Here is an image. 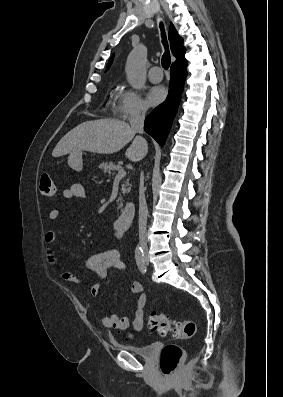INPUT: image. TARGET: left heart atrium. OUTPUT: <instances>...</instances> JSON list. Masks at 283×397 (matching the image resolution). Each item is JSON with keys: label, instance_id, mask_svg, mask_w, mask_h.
<instances>
[{"label": "left heart atrium", "instance_id": "1", "mask_svg": "<svg viewBox=\"0 0 283 397\" xmlns=\"http://www.w3.org/2000/svg\"><path fill=\"white\" fill-rule=\"evenodd\" d=\"M167 95V91L163 86H152L146 94V103L148 106L154 107L162 103Z\"/></svg>", "mask_w": 283, "mask_h": 397}]
</instances>
